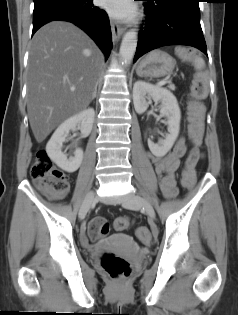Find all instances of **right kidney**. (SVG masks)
Listing matches in <instances>:
<instances>
[{
  "label": "right kidney",
  "instance_id": "ca27d5eb",
  "mask_svg": "<svg viewBox=\"0 0 238 315\" xmlns=\"http://www.w3.org/2000/svg\"><path fill=\"white\" fill-rule=\"evenodd\" d=\"M94 117L95 111L93 108L85 109L65 120L53 133L46 145V152L50 159L62 170L73 173L80 167L83 160V150L80 148H77L74 151V156L69 158L67 154L62 152V146L69 131L80 125L82 137H87L91 133Z\"/></svg>",
  "mask_w": 238,
  "mask_h": 315
}]
</instances>
